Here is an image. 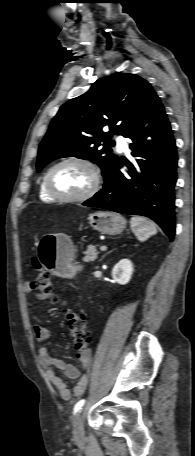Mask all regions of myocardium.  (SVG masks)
Segmentation results:
<instances>
[{
  "label": "myocardium",
  "mask_w": 195,
  "mask_h": 456,
  "mask_svg": "<svg viewBox=\"0 0 195 456\" xmlns=\"http://www.w3.org/2000/svg\"><path fill=\"white\" fill-rule=\"evenodd\" d=\"M67 163L82 164L90 170L91 175H92V183L86 192H84L80 195H76V196H66V195L59 194L58 192H56L53 189V187L51 185V181H50L53 171L56 168H58L59 166L67 164ZM43 181H44V187H45L46 192L54 200L61 201V202H84V201H87L88 199L92 198L99 190V187L101 184V176H100L99 170L96 167V165L93 162H91L90 160H88L86 158H82V157H68V158L60 160L59 162H57L53 166H51L45 173Z\"/></svg>",
  "instance_id": "obj_1"
}]
</instances>
